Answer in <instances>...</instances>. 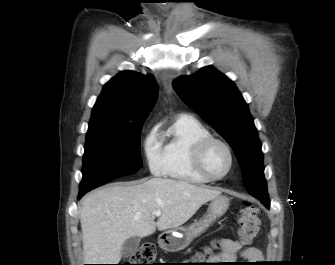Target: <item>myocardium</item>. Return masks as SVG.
<instances>
[{
  "label": "myocardium",
  "instance_id": "obj_1",
  "mask_svg": "<svg viewBox=\"0 0 335 265\" xmlns=\"http://www.w3.org/2000/svg\"><path fill=\"white\" fill-rule=\"evenodd\" d=\"M213 143H217V144L222 145L226 149V151L229 155L228 169L226 170V172L224 174H222L220 176L212 175L206 169V167L204 165L205 152L208 149V147ZM193 164H194V167L197 170V172L201 176L206 178L207 180H209V181H220V180L226 178L231 173V171L233 170V167H234V164H235V155H234V152H233V149H232L231 145L227 141H225L221 138L210 135L208 137H205V138L201 139L196 144V146L194 148V151H193Z\"/></svg>",
  "mask_w": 335,
  "mask_h": 265
}]
</instances>
